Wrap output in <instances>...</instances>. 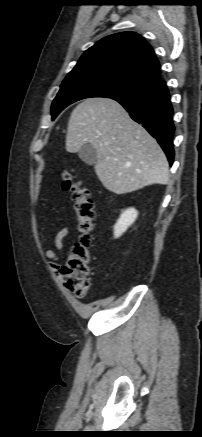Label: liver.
<instances>
[{
    "instance_id": "1",
    "label": "liver",
    "mask_w": 202,
    "mask_h": 437,
    "mask_svg": "<svg viewBox=\"0 0 202 437\" xmlns=\"http://www.w3.org/2000/svg\"><path fill=\"white\" fill-rule=\"evenodd\" d=\"M87 142L97 152L99 180L115 194L169 181V164L157 141L112 99H85L72 111L66 151L79 152Z\"/></svg>"
}]
</instances>
